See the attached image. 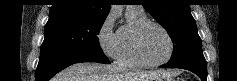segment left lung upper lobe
Returning a JSON list of instances; mask_svg holds the SVG:
<instances>
[{
	"mask_svg": "<svg viewBox=\"0 0 237 81\" xmlns=\"http://www.w3.org/2000/svg\"><path fill=\"white\" fill-rule=\"evenodd\" d=\"M143 6L163 26L174 43L167 67L206 64L187 0H143Z\"/></svg>",
	"mask_w": 237,
	"mask_h": 81,
	"instance_id": "1",
	"label": "left lung upper lobe"
}]
</instances>
